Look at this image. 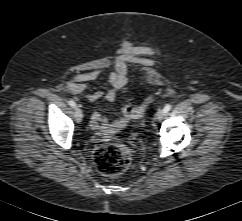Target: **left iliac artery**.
<instances>
[{
	"instance_id": "44dca946",
	"label": "left iliac artery",
	"mask_w": 242,
	"mask_h": 221,
	"mask_svg": "<svg viewBox=\"0 0 242 221\" xmlns=\"http://www.w3.org/2000/svg\"><path fill=\"white\" fill-rule=\"evenodd\" d=\"M171 108H172V105L167 104V105L164 107V113H167L168 111H170Z\"/></svg>"
}]
</instances>
